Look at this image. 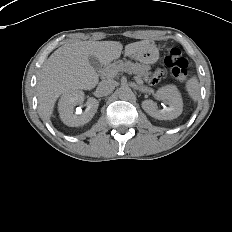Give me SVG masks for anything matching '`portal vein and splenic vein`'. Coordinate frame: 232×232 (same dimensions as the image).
<instances>
[{"instance_id": "18ae733b", "label": "portal vein and splenic vein", "mask_w": 232, "mask_h": 232, "mask_svg": "<svg viewBox=\"0 0 232 232\" xmlns=\"http://www.w3.org/2000/svg\"><path fill=\"white\" fill-rule=\"evenodd\" d=\"M115 74H116L115 71H110V72L108 73V76L113 77ZM134 78H135V80L137 81V78H136V77H134ZM137 82H138V83H142L141 80H139V81H137Z\"/></svg>"}]
</instances>
